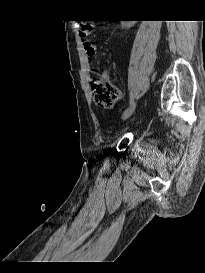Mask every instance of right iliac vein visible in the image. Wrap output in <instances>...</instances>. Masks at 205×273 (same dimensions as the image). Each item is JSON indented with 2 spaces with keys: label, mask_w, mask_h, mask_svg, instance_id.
Masks as SVG:
<instances>
[{
  "label": "right iliac vein",
  "mask_w": 205,
  "mask_h": 273,
  "mask_svg": "<svg viewBox=\"0 0 205 273\" xmlns=\"http://www.w3.org/2000/svg\"><path fill=\"white\" fill-rule=\"evenodd\" d=\"M136 103L131 104L123 113L122 120L128 119L135 111Z\"/></svg>",
  "instance_id": "right-iliac-vein-1"
}]
</instances>
